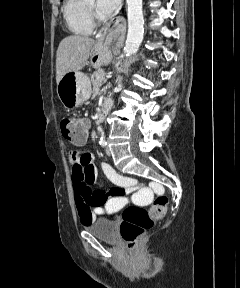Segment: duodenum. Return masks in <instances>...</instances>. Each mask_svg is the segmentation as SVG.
<instances>
[{"label": "duodenum", "instance_id": "1", "mask_svg": "<svg viewBox=\"0 0 240 288\" xmlns=\"http://www.w3.org/2000/svg\"><path fill=\"white\" fill-rule=\"evenodd\" d=\"M112 106V101L110 99H107L104 101L103 105L100 107V109L96 113V120L101 121L105 118L107 113L109 112L110 108Z\"/></svg>", "mask_w": 240, "mask_h": 288}]
</instances>
